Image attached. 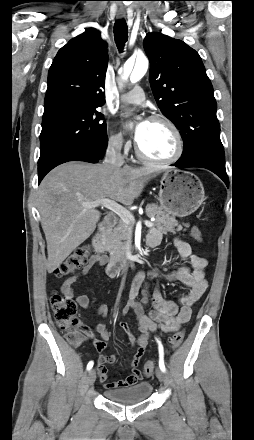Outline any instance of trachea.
Masks as SVG:
<instances>
[{"mask_svg": "<svg viewBox=\"0 0 254 440\" xmlns=\"http://www.w3.org/2000/svg\"><path fill=\"white\" fill-rule=\"evenodd\" d=\"M114 39L118 49L122 51L128 39V27L124 19L115 22Z\"/></svg>", "mask_w": 254, "mask_h": 440, "instance_id": "3493384b", "label": "trachea"}]
</instances>
